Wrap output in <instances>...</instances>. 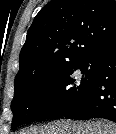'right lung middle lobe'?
<instances>
[{"mask_svg":"<svg viewBox=\"0 0 116 134\" xmlns=\"http://www.w3.org/2000/svg\"><path fill=\"white\" fill-rule=\"evenodd\" d=\"M80 70V73L76 70ZM93 62H78L28 85L14 95L11 129L61 114L78 101L95 76Z\"/></svg>","mask_w":116,"mask_h":134,"instance_id":"right-lung-middle-lobe-1","label":"right lung middle lobe"}]
</instances>
